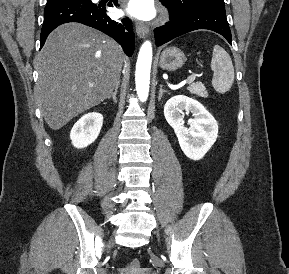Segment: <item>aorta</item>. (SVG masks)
<instances>
[{"instance_id": "762f6f07", "label": "aorta", "mask_w": 289, "mask_h": 274, "mask_svg": "<svg viewBox=\"0 0 289 274\" xmlns=\"http://www.w3.org/2000/svg\"><path fill=\"white\" fill-rule=\"evenodd\" d=\"M152 55V44L150 41H145L138 54L135 73L136 91L142 102H145L149 95Z\"/></svg>"}]
</instances>
